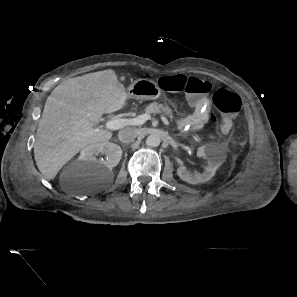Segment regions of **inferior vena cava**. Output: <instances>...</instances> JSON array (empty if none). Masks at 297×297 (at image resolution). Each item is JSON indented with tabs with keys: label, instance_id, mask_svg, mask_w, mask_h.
I'll return each instance as SVG.
<instances>
[{
	"label": "inferior vena cava",
	"instance_id": "obj_1",
	"mask_svg": "<svg viewBox=\"0 0 297 297\" xmlns=\"http://www.w3.org/2000/svg\"><path fill=\"white\" fill-rule=\"evenodd\" d=\"M139 135V131L136 128L127 127L119 131L118 138L122 143H131Z\"/></svg>",
	"mask_w": 297,
	"mask_h": 297
}]
</instances>
